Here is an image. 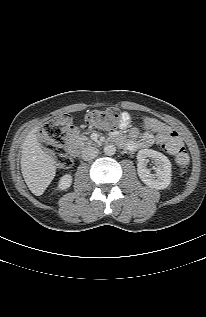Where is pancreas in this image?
<instances>
[{"label": "pancreas", "instance_id": "1", "mask_svg": "<svg viewBox=\"0 0 206 317\" xmlns=\"http://www.w3.org/2000/svg\"><path fill=\"white\" fill-rule=\"evenodd\" d=\"M76 142H77L78 144H82V145H84V144H91V143H92L91 140H89V138L86 137V136H84V135H78V136L76 137Z\"/></svg>", "mask_w": 206, "mask_h": 317}]
</instances>
